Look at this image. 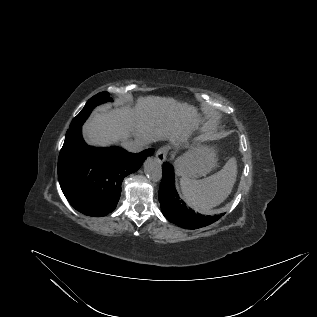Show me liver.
<instances>
[{"mask_svg":"<svg viewBox=\"0 0 317 317\" xmlns=\"http://www.w3.org/2000/svg\"><path fill=\"white\" fill-rule=\"evenodd\" d=\"M197 109L171 97H139L130 104L95 111L83 125V135L90 145L109 146L129 138L144 137L180 143L198 127Z\"/></svg>","mask_w":317,"mask_h":317,"instance_id":"1","label":"liver"}]
</instances>
